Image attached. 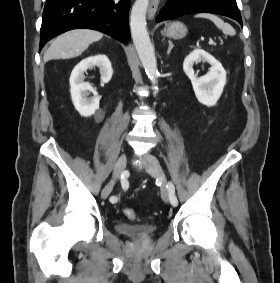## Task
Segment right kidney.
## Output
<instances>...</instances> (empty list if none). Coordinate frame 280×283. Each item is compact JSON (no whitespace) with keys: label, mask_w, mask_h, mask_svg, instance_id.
<instances>
[{"label":"right kidney","mask_w":280,"mask_h":283,"mask_svg":"<svg viewBox=\"0 0 280 283\" xmlns=\"http://www.w3.org/2000/svg\"><path fill=\"white\" fill-rule=\"evenodd\" d=\"M95 66L99 68L101 81L108 83L112 78L113 70L108 57L103 54L83 59L74 67L70 76V92L74 107L84 117L93 115L99 109L98 93L88 82H84V72ZM90 93L93 94L92 98H88Z\"/></svg>","instance_id":"ca27d5eb"}]
</instances>
